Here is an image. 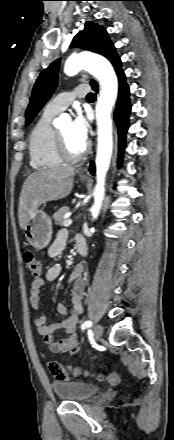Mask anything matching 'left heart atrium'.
<instances>
[{"label": "left heart atrium", "mask_w": 174, "mask_h": 440, "mask_svg": "<svg viewBox=\"0 0 174 440\" xmlns=\"http://www.w3.org/2000/svg\"><path fill=\"white\" fill-rule=\"evenodd\" d=\"M90 131L88 117L81 111H78L74 120L71 122V133L73 138L81 143L86 144Z\"/></svg>", "instance_id": "obj_1"}]
</instances>
